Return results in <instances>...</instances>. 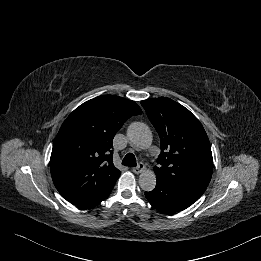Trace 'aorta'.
Segmentation results:
<instances>
[{"mask_svg":"<svg viewBox=\"0 0 261 261\" xmlns=\"http://www.w3.org/2000/svg\"><path fill=\"white\" fill-rule=\"evenodd\" d=\"M127 136L130 144L138 149H145L152 143V133L149 127L141 122L132 123L127 130ZM138 182L142 190L152 191L156 186L155 173L151 170H143Z\"/></svg>","mask_w":261,"mask_h":261,"instance_id":"obj_1","label":"aorta"}]
</instances>
